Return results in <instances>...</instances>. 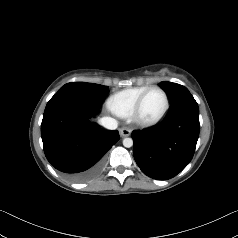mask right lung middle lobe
Listing matches in <instances>:
<instances>
[{
	"label": "right lung middle lobe",
	"mask_w": 238,
	"mask_h": 238,
	"mask_svg": "<svg viewBox=\"0 0 238 238\" xmlns=\"http://www.w3.org/2000/svg\"><path fill=\"white\" fill-rule=\"evenodd\" d=\"M74 92L81 96H84L90 100L103 102L108 95V86H103L94 83L86 82H72L67 83L57 92Z\"/></svg>",
	"instance_id": "right-lung-middle-lobe-1"
}]
</instances>
